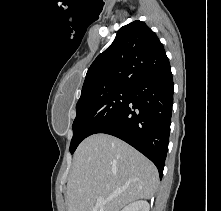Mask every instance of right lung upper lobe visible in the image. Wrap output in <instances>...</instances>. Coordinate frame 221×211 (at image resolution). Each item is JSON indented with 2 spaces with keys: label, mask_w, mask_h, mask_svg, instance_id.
<instances>
[{
  "label": "right lung upper lobe",
  "mask_w": 221,
  "mask_h": 211,
  "mask_svg": "<svg viewBox=\"0 0 221 211\" xmlns=\"http://www.w3.org/2000/svg\"><path fill=\"white\" fill-rule=\"evenodd\" d=\"M170 67L164 47L142 21L121 27L113 43L87 71L79 100L121 88Z\"/></svg>",
  "instance_id": "1"
}]
</instances>
